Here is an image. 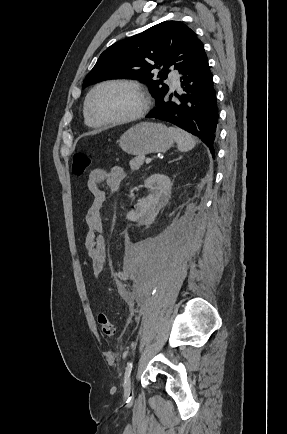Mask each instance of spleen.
Here are the masks:
<instances>
[{
  "instance_id": "1",
  "label": "spleen",
  "mask_w": 287,
  "mask_h": 434,
  "mask_svg": "<svg viewBox=\"0 0 287 434\" xmlns=\"http://www.w3.org/2000/svg\"><path fill=\"white\" fill-rule=\"evenodd\" d=\"M168 130L176 141L179 151L187 152L195 147V139L186 131L175 127H170Z\"/></svg>"
}]
</instances>
